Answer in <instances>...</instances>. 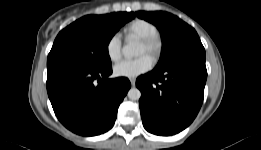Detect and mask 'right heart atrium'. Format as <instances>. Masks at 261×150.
<instances>
[{
  "mask_svg": "<svg viewBox=\"0 0 261 150\" xmlns=\"http://www.w3.org/2000/svg\"><path fill=\"white\" fill-rule=\"evenodd\" d=\"M105 50L112 62H117L122 56V42L118 34L112 35L106 42Z\"/></svg>",
  "mask_w": 261,
  "mask_h": 150,
  "instance_id": "right-heart-atrium-1",
  "label": "right heart atrium"
}]
</instances>
